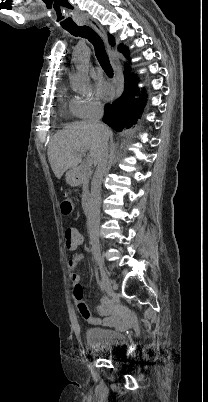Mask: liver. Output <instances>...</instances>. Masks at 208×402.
I'll use <instances>...</instances> for the list:
<instances>
[{
  "mask_svg": "<svg viewBox=\"0 0 208 402\" xmlns=\"http://www.w3.org/2000/svg\"><path fill=\"white\" fill-rule=\"evenodd\" d=\"M109 136L107 126L99 128L88 122L69 124L64 130L56 132L48 144V160L56 178L60 180L66 170L78 166L76 156L83 150H90V156L97 164Z\"/></svg>",
  "mask_w": 208,
  "mask_h": 402,
  "instance_id": "6515ba94",
  "label": "liver"
}]
</instances>
